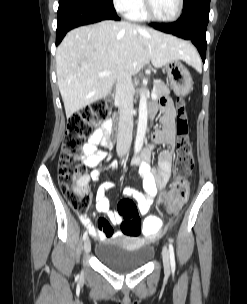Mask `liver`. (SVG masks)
Returning a JSON list of instances; mask_svg holds the SVG:
<instances>
[{"mask_svg":"<svg viewBox=\"0 0 247 304\" xmlns=\"http://www.w3.org/2000/svg\"><path fill=\"white\" fill-rule=\"evenodd\" d=\"M174 60L195 65L198 55L186 41L129 22L107 20L70 31L56 52L66 117L106 97L120 71L135 75L149 62L161 68ZM104 71L110 74L99 77Z\"/></svg>","mask_w":247,"mask_h":304,"instance_id":"6515ba94","label":"liver"}]
</instances>
